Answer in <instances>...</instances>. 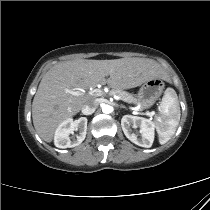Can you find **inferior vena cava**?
Masks as SVG:
<instances>
[{
	"label": "inferior vena cava",
	"instance_id": "obj_1",
	"mask_svg": "<svg viewBox=\"0 0 210 210\" xmlns=\"http://www.w3.org/2000/svg\"><path fill=\"white\" fill-rule=\"evenodd\" d=\"M97 105H98L97 102L94 100L87 102L82 107V113L84 115H91L92 113L95 112Z\"/></svg>",
	"mask_w": 210,
	"mask_h": 210
}]
</instances>
